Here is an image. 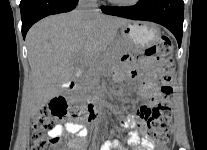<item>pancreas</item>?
I'll return each instance as SVG.
<instances>
[{"label": "pancreas", "mask_w": 207, "mask_h": 150, "mask_svg": "<svg viewBox=\"0 0 207 150\" xmlns=\"http://www.w3.org/2000/svg\"><path fill=\"white\" fill-rule=\"evenodd\" d=\"M117 57L118 53L115 50H111L104 56L96 58L97 62L91 64L88 71L82 76L81 88L85 91L94 89L98 85L102 70L112 67Z\"/></svg>", "instance_id": "cf45deb5"}]
</instances>
